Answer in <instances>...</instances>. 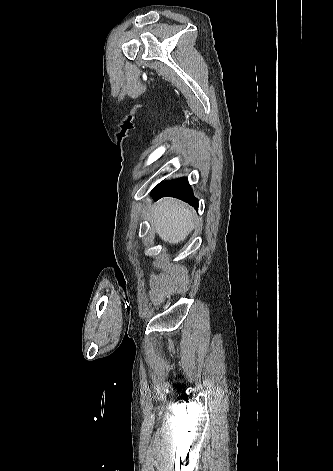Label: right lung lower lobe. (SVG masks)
<instances>
[{
	"label": "right lung lower lobe",
	"instance_id": "1",
	"mask_svg": "<svg viewBox=\"0 0 333 471\" xmlns=\"http://www.w3.org/2000/svg\"><path fill=\"white\" fill-rule=\"evenodd\" d=\"M163 196H171L181 199L198 210V199L194 197L188 179L181 177L173 181L158 184L152 192V197L157 200Z\"/></svg>",
	"mask_w": 333,
	"mask_h": 471
}]
</instances>
